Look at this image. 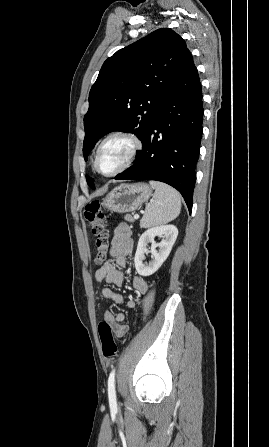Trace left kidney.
I'll return each mask as SVG.
<instances>
[{
	"label": "left kidney",
	"mask_w": 269,
	"mask_h": 447,
	"mask_svg": "<svg viewBox=\"0 0 269 447\" xmlns=\"http://www.w3.org/2000/svg\"><path fill=\"white\" fill-rule=\"evenodd\" d=\"M156 235H163L165 239H162L160 243H156V241H154ZM177 235L178 229L176 225H158V227H150V229H146V231L140 235L134 257L136 271H138L139 275H152L154 271H157L158 267H160L166 257H168L172 245L174 241H176ZM149 241H152L153 247L159 245L160 249L159 251H157V249H151L153 259L150 263H145V261H143V259H145L144 253H148L146 245H148Z\"/></svg>",
	"instance_id": "5707ae66"
}]
</instances>
